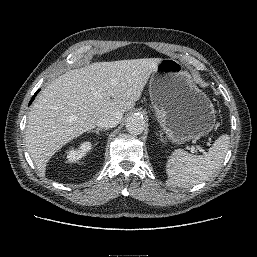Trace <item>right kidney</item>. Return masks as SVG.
I'll return each instance as SVG.
<instances>
[{"instance_id":"right-kidney-1","label":"right kidney","mask_w":257,"mask_h":257,"mask_svg":"<svg viewBox=\"0 0 257 257\" xmlns=\"http://www.w3.org/2000/svg\"><path fill=\"white\" fill-rule=\"evenodd\" d=\"M91 142H83L78 148H71L67 151V159L69 162H76L80 160L87 152L91 150Z\"/></svg>"}]
</instances>
